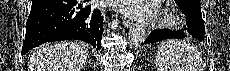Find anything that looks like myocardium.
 I'll return each instance as SVG.
<instances>
[{
	"instance_id": "1",
	"label": "myocardium",
	"mask_w": 230,
	"mask_h": 71,
	"mask_svg": "<svg viewBox=\"0 0 230 71\" xmlns=\"http://www.w3.org/2000/svg\"><path fill=\"white\" fill-rule=\"evenodd\" d=\"M181 23L180 14L173 8L165 7L160 10L155 24L161 28H176Z\"/></svg>"
}]
</instances>
